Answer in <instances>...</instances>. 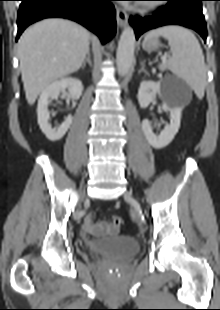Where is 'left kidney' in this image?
I'll use <instances>...</instances> for the list:
<instances>
[{
  "label": "left kidney",
  "mask_w": 220,
  "mask_h": 310,
  "mask_svg": "<svg viewBox=\"0 0 220 310\" xmlns=\"http://www.w3.org/2000/svg\"><path fill=\"white\" fill-rule=\"evenodd\" d=\"M157 95L165 99L162 108L170 112V124L166 125L165 129L159 135H156L153 132V127L149 120L145 119L142 121V130L149 144L156 149H161L170 144L177 134L180 127L183 106L176 104V100L171 96L169 91L162 89L160 82L142 81L138 91L140 107H148Z\"/></svg>",
  "instance_id": "left-kidney-1"
}]
</instances>
